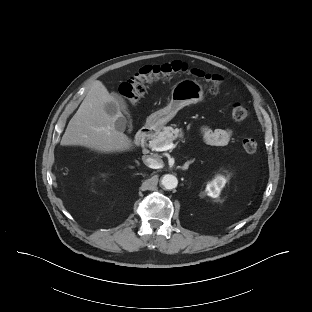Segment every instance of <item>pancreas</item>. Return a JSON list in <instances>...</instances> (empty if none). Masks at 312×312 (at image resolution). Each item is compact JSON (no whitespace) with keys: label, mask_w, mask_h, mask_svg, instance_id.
I'll use <instances>...</instances> for the list:
<instances>
[{"label":"pancreas","mask_w":312,"mask_h":312,"mask_svg":"<svg viewBox=\"0 0 312 312\" xmlns=\"http://www.w3.org/2000/svg\"><path fill=\"white\" fill-rule=\"evenodd\" d=\"M176 125L163 127L155 138L149 142L150 148L160 147L165 144L172 143L177 138H183V131L179 128H174Z\"/></svg>","instance_id":"pancreas-1"}]
</instances>
